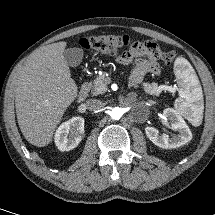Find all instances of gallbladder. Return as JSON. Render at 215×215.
<instances>
[{"instance_id":"bac80fb5","label":"gallbladder","mask_w":215,"mask_h":215,"mask_svg":"<svg viewBox=\"0 0 215 215\" xmlns=\"http://www.w3.org/2000/svg\"><path fill=\"white\" fill-rule=\"evenodd\" d=\"M63 56L70 66L77 67L83 59V50L79 47L68 48L64 50Z\"/></svg>"}]
</instances>
